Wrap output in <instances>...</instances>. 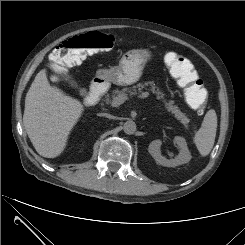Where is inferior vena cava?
Instances as JSON below:
<instances>
[{
	"instance_id": "inferior-vena-cava-1",
	"label": "inferior vena cava",
	"mask_w": 245,
	"mask_h": 245,
	"mask_svg": "<svg viewBox=\"0 0 245 245\" xmlns=\"http://www.w3.org/2000/svg\"><path fill=\"white\" fill-rule=\"evenodd\" d=\"M101 116H104V117H107V118H110V119H114L115 117L110 115V114H107V113H102Z\"/></svg>"
}]
</instances>
